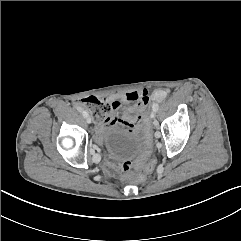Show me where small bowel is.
I'll return each instance as SVG.
<instances>
[{
	"label": "small bowel",
	"mask_w": 241,
	"mask_h": 241,
	"mask_svg": "<svg viewBox=\"0 0 241 241\" xmlns=\"http://www.w3.org/2000/svg\"><path fill=\"white\" fill-rule=\"evenodd\" d=\"M151 91L148 87L143 86L137 91H132L124 94H116L109 98L110 103L115 109L121 110L120 117H112L105 123L98 124L95 127V139L97 142H102L103 132L106 126L120 123L132 130H140L147 126L141 121L142 112L145 106L151 103ZM98 161V159H96ZM106 172L113 175L114 170L112 166L106 165Z\"/></svg>",
	"instance_id": "1"
}]
</instances>
